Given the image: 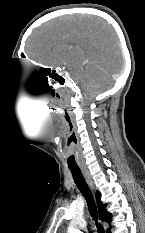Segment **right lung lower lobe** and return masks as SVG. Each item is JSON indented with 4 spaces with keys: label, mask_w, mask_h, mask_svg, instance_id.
I'll list each match as a JSON object with an SVG mask.
<instances>
[{
    "label": "right lung lower lobe",
    "mask_w": 145,
    "mask_h": 233,
    "mask_svg": "<svg viewBox=\"0 0 145 233\" xmlns=\"http://www.w3.org/2000/svg\"><path fill=\"white\" fill-rule=\"evenodd\" d=\"M107 233H110L109 229H108Z\"/></svg>",
    "instance_id": "right-lung-lower-lobe-1"
}]
</instances>
